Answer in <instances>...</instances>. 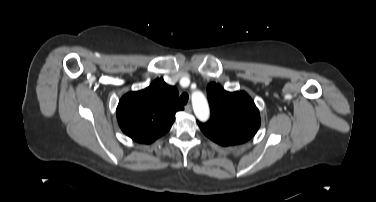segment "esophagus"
I'll return each instance as SVG.
<instances>
[{"label": "esophagus", "instance_id": "1", "mask_svg": "<svg viewBox=\"0 0 376 202\" xmlns=\"http://www.w3.org/2000/svg\"><path fill=\"white\" fill-rule=\"evenodd\" d=\"M185 111H186L187 113H190V112L192 111V108H191V105H190V104H188V105L185 106Z\"/></svg>", "mask_w": 376, "mask_h": 202}]
</instances>
